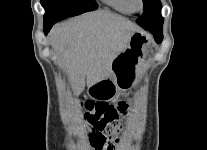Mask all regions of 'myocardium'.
Masks as SVG:
<instances>
[{
	"label": "myocardium",
	"mask_w": 207,
	"mask_h": 150,
	"mask_svg": "<svg viewBox=\"0 0 207 150\" xmlns=\"http://www.w3.org/2000/svg\"><path fill=\"white\" fill-rule=\"evenodd\" d=\"M134 11L140 12L144 9V0H129Z\"/></svg>",
	"instance_id": "myocardium-1"
}]
</instances>
